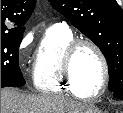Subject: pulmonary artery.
<instances>
[{
	"mask_svg": "<svg viewBox=\"0 0 123 113\" xmlns=\"http://www.w3.org/2000/svg\"><path fill=\"white\" fill-rule=\"evenodd\" d=\"M56 25L65 26V23H59V24H56Z\"/></svg>",
	"mask_w": 123,
	"mask_h": 113,
	"instance_id": "obj_1",
	"label": "pulmonary artery"
}]
</instances>
